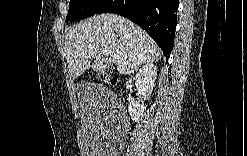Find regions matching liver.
<instances>
[{"label":"liver","mask_w":247,"mask_h":156,"mask_svg":"<svg viewBox=\"0 0 247 156\" xmlns=\"http://www.w3.org/2000/svg\"><path fill=\"white\" fill-rule=\"evenodd\" d=\"M65 46L72 80L90 67L105 71L112 60L119 74L127 75L162 57L161 49L142 28L116 14L95 15L69 27L65 31Z\"/></svg>","instance_id":"obj_1"}]
</instances>
